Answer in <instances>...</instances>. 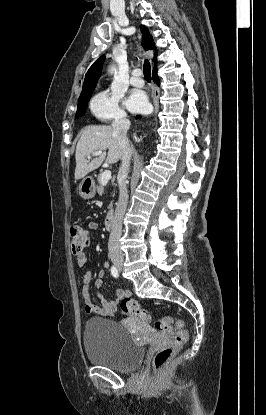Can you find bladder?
<instances>
[{
  "label": "bladder",
  "mask_w": 266,
  "mask_h": 415,
  "mask_svg": "<svg viewBox=\"0 0 266 415\" xmlns=\"http://www.w3.org/2000/svg\"><path fill=\"white\" fill-rule=\"evenodd\" d=\"M83 345L88 360L116 371L137 368L145 353L120 323L105 318H91L83 331Z\"/></svg>",
  "instance_id": "1"
}]
</instances>
